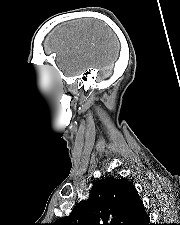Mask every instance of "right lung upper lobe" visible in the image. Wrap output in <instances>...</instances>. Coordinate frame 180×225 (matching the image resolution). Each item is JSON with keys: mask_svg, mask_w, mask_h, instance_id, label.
Masks as SVG:
<instances>
[{"mask_svg": "<svg viewBox=\"0 0 180 225\" xmlns=\"http://www.w3.org/2000/svg\"><path fill=\"white\" fill-rule=\"evenodd\" d=\"M148 220L132 183L107 177L93 184L89 202H80L52 225H144Z\"/></svg>", "mask_w": 180, "mask_h": 225, "instance_id": "obj_1", "label": "right lung upper lobe"}]
</instances>
